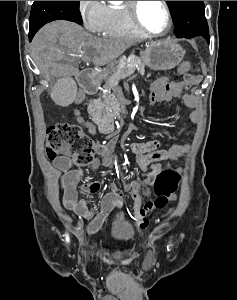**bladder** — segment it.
<instances>
[{
	"mask_svg": "<svg viewBox=\"0 0 237 300\" xmlns=\"http://www.w3.org/2000/svg\"><path fill=\"white\" fill-rule=\"evenodd\" d=\"M111 238L117 242L126 243L135 236V229L124 217L117 218L110 230Z\"/></svg>",
	"mask_w": 237,
	"mask_h": 300,
	"instance_id": "1",
	"label": "bladder"
}]
</instances>
